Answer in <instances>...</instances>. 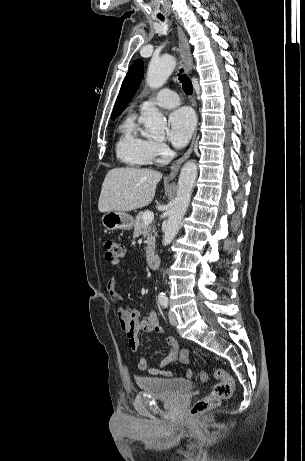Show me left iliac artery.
<instances>
[{
    "label": "left iliac artery",
    "mask_w": 305,
    "mask_h": 461,
    "mask_svg": "<svg viewBox=\"0 0 305 461\" xmlns=\"http://www.w3.org/2000/svg\"><path fill=\"white\" fill-rule=\"evenodd\" d=\"M159 303L163 308H167L168 306V298L165 294H161L158 296Z\"/></svg>",
    "instance_id": "obj_1"
}]
</instances>
